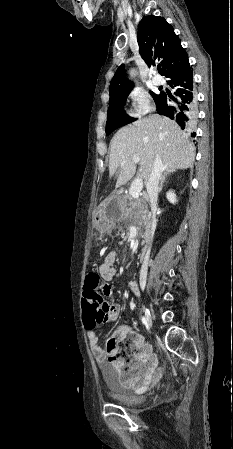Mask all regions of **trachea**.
<instances>
[{
    "label": "trachea",
    "mask_w": 233,
    "mask_h": 449,
    "mask_svg": "<svg viewBox=\"0 0 233 449\" xmlns=\"http://www.w3.org/2000/svg\"><path fill=\"white\" fill-rule=\"evenodd\" d=\"M157 69H158V70H161V66H160V65H158V66H157Z\"/></svg>",
    "instance_id": "3493384b"
}]
</instances>
